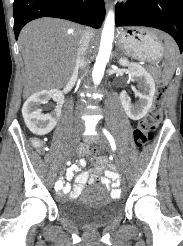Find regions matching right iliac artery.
<instances>
[{
	"label": "right iliac artery",
	"instance_id": "right-iliac-artery-1",
	"mask_svg": "<svg viewBox=\"0 0 183 246\" xmlns=\"http://www.w3.org/2000/svg\"><path fill=\"white\" fill-rule=\"evenodd\" d=\"M57 189H59V185L58 184L55 185V190H57Z\"/></svg>",
	"mask_w": 183,
	"mask_h": 246
}]
</instances>
